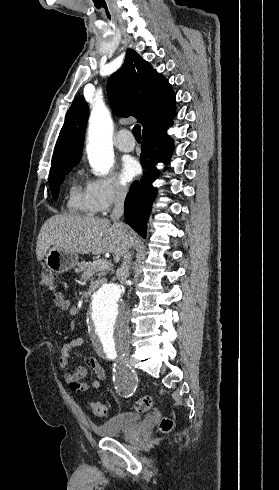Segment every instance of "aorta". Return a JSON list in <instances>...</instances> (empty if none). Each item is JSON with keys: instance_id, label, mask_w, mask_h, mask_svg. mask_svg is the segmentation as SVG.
<instances>
[{"instance_id": "obj_1", "label": "aorta", "mask_w": 279, "mask_h": 490, "mask_svg": "<svg viewBox=\"0 0 279 490\" xmlns=\"http://www.w3.org/2000/svg\"><path fill=\"white\" fill-rule=\"evenodd\" d=\"M113 122L107 108L94 106L89 118L87 156L95 172L105 175L114 164ZM129 311L122 300V289L103 284L91 298L88 317L92 344L102 352L113 351L129 340Z\"/></svg>"}]
</instances>
